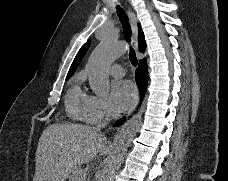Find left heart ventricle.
<instances>
[{
  "label": "left heart ventricle",
  "mask_w": 228,
  "mask_h": 181,
  "mask_svg": "<svg viewBox=\"0 0 228 181\" xmlns=\"http://www.w3.org/2000/svg\"><path fill=\"white\" fill-rule=\"evenodd\" d=\"M114 77H119V75H116V76H114Z\"/></svg>",
  "instance_id": "1"
}]
</instances>
